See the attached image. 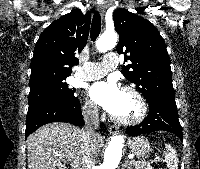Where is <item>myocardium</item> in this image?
<instances>
[{"label":"myocardium","mask_w":200,"mask_h":169,"mask_svg":"<svg viewBox=\"0 0 200 169\" xmlns=\"http://www.w3.org/2000/svg\"><path fill=\"white\" fill-rule=\"evenodd\" d=\"M122 91L132 94L137 99L139 111L137 115L132 118H119L111 114V119L118 124L127 126H133L143 122L148 114V104L144 95L133 86H124L122 87Z\"/></svg>","instance_id":"myocardium-1"}]
</instances>
